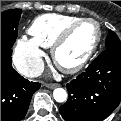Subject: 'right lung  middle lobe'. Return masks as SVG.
<instances>
[{
    "mask_svg": "<svg viewBox=\"0 0 121 121\" xmlns=\"http://www.w3.org/2000/svg\"><path fill=\"white\" fill-rule=\"evenodd\" d=\"M20 9L1 13V47L12 48L18 34L17 26L21 17Z\"/></svg>",
    "mask_w": 121,
    "mask_h": 121,
    "instance_id": "obj_1",
    "label": "right lung middle lobe"
}]
</instances>
